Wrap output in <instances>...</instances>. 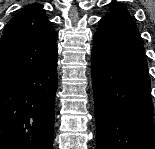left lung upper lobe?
Instances as JSON below:
<instances>
[{
	"label": "left lung upper lobe",
	"mask_w": 155,
	"mask_h": 149,
	"mask_svg": "<svg viewBox=\"0 0 155 149\" xmlns=\"http://www.w3.org/2000/svg\"><path fill=\"white\" fill-rule=\"evenodd\" d=\"M110 10L111 11L106 16L128 13L125 8L121 7L120 5H116L115 2L111 3Z\"/></svg>",
	"instance_id": "1"
}]
</instances>
